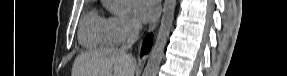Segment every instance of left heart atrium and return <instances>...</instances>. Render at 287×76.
Listing matches in <instances>:
<instances>
[{
	"label": "left heart atrium",
	"mask_w": 287,
	"mask_h": 76,
	"mask_svg": "<svg viewBox=\"0 0 287 76\" xmlns=\"http://www.w3.org/2000/svg\"><path fill=\"white\" fill-rule=\"evenodd\" d=\"M130 7L134 16L140 22L151 20L157 12L156 2L153 0H131Z\"/></svg>",
	"instance_id": "left-heart-atrium-1"
}]
</instances>
